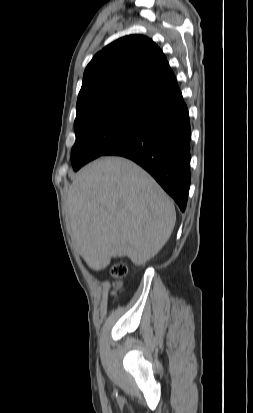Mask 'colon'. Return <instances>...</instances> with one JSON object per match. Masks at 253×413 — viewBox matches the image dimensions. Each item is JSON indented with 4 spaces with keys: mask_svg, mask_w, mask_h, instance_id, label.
I'll return each instance as SVG.
<instances>
[{
    "mask_svg": "<svg viewBox=\"0 0 253 413\" xmlns=\"http://www.w3.org/2000/svg\"><path fill=\"white\" fill-rule=\"evenodd\" d=\"M127 271H128L127 266H126L124 263H120V262L114 263V264L109 268V273H110V275H111L113 278L117 279V280H119V279H121L122 277H124V276L127 274ZM119 287H120V282L117 281V282L115 283V289H118Z\"/></svg>",
    "mask_w": 253,
    "mask_h": 413,
    "instance_id": "obj_1",
    "label": "colon"
}]
</instances>
